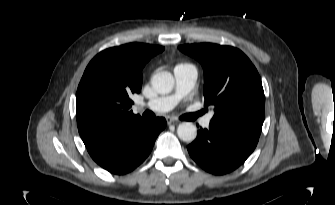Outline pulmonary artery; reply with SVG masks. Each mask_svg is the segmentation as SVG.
<instances>
[{"label": "pulmonary artery", "instance_id": "pulmonary-artery-1", "mask_svg": "<svg viewBox=\"0 0 335 205\" xmlns=\"http://www.w3.org/2000/svg\"><path fill=\"white\" fill-rule=\"evenodd\" d=\"M198 76L197 69L194 65L188 63L178 64L174 68L175 91L171 95L158 97L142 104L154 112H167L173 109L177 103L186 96L193 88ZM213 114L205 116L201 124L208 127Z\"/></svg>", "mask_w": 335, "mask_h": 205}]
</instances>
